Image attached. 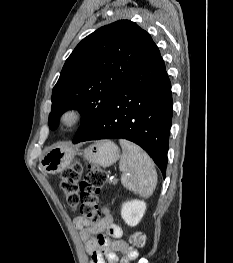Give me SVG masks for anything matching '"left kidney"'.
Listing matches in <instances>:
<instances>
[{
  "mask_svg": "<svg viewBox=\"0 0 233 263\" xmlns=\"http://www.w3.org/2000/svg\"><path fill=\"white\" fill-rule=\"evenodd\" d=\"M146 210V203L139 200L127 201L122 204L121 216L130 226H136Z\"/></svg>",
  "mask_w": 233,
  "mask_h": 263,
  "instance_id": "5707ae66",
  "label": "left kidney"
}]
</instances>
